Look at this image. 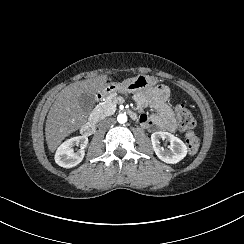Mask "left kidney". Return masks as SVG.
I'll return each instance as SVG.
<instances>
[{
  "label": "left kidney",
  "mask_w": 244,
  "mask_h": 244,
  "mask_svg": "<svg viewBox=\"0 0 244 244\" xmlns=\"http://www.w3.org/2000/svg\"><path fill=\"white\" fill-rule=\"evenodd\" d=\"M160 139L169 140L170 150H164L160 147ZM152 147L159 160L166 164H178L182 161L187 153L188 148L185 143L178 137L169 132H154L151 135Z\"/></svg>",
  "instance_id": "left-kidney-1"
}]
</instances>
